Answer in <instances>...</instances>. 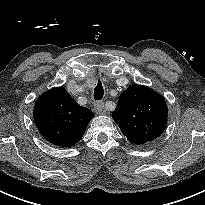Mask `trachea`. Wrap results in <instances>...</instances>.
Here are the masks:
<instances>
[{
    "instance_id": "3493384b",
    "label": "trachea",
    "mask_w": 205,
    "mask_h": 205,
    "mask_svg": "<svg viewBox=\"0 0 205 205\" xmlns=\"http://www.w3.org/2000/svg\"><path fill=\"white\" fill-rule=\"evenodd\" d=\"M103 95H104V89H103L102 83L99 81L97 86L94 89L93 96L95 100H100L102 99Z\"/></svg>"
}]
</instances>
